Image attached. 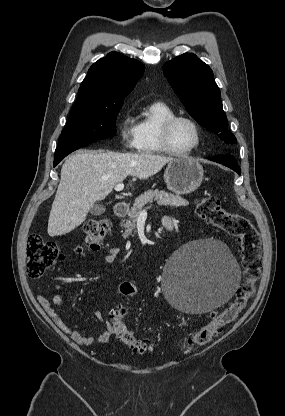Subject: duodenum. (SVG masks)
Returning <instances> with one entry per match:
<instances>
[{
    "label": "duodenum",
    "instance_id": "obj_1",
    "mask_svg": "<svg viewBox=\"0 0 285 416\" xmlns=\"http://www.w3.org/2000/svg\"><path fill=\"white\" fill-rule=\"evenodd\" d=\"M129 200L127 198H121L119 200V203H117L114 206V214L117 217H123L128 214L129 212V206H128ZM163 226L171 231L173 229V221L170 217H164L163 218Z\"/></svg>",
    "mask_w": 285,
    "mask_h": 416
}]
</instances>
